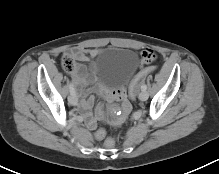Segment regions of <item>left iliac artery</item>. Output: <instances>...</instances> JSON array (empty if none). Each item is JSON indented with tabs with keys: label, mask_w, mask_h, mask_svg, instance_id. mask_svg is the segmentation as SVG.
<instances>
[{
	"label": "left iliac artery",
	"mask_w": 219,
	"mask_h": 174,
	"mask_svg": "<svg viewBox=\"0 0 219 174\" xmlns=\"http://www.w3.org/2000/svg\"><path fill=\"white\" fill-rule=\"evenodd\" d=\"M146 89H147L146 84H142V85H141V90H142V91H145Z\"/></svg>",
	"instance_id": "obj_1"
}]
</instances>
